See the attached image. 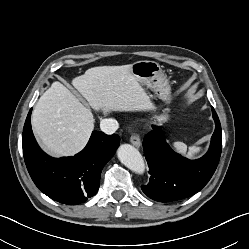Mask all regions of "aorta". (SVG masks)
I'll use <instances>...</instances> for the list:
<instances>
[{
	"instance_id": "1",
	"label": "aorta",
	"mask_w": 249,
	"mask_h": 249,
	"mask_svg": "<svg viewBox=\"0 0 249 249\" xmlns=\"http://www.w3.org/2000/svg\"><path fill=\"white\" fill-rule=\"evenodd\" d=\"M120 162L136 174L142 175L145 171V163L140 152L129 144L121 145L117 150Z\"/></svg>"
}]
</instances>
